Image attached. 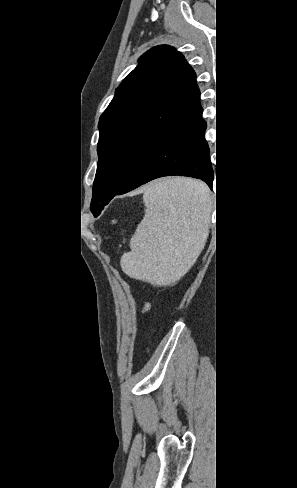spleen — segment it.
<instances>
[{
    "label": "spleen",
    "mask_w": 297,
    "mask_h": 488,
    "mask_svg": "<svg viewBox=\"0 0 297 488\" xmlns=\"http://www.w3.org/2000/svg\"><path fill=\"white\" fill-rule=\"evenodd\" d=\"M143 201L145 215L121 267L132 278L164 285L184 275L197 258L211 194L200 181L176 177L150 184Z\"/></svg>",
    "instance_id": "3e777b00"
}]
</instances>
